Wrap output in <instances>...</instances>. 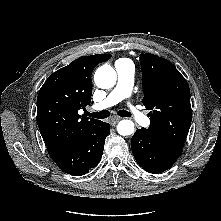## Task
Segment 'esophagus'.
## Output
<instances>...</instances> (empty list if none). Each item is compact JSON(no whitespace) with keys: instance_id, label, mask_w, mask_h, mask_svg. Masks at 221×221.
<instances>
[{"instance_id":"1","label":"esophagus","mask_w":221,"mask_h":221,"mask_svg":"<svg viewBox=\"0 0 221 221\" xmlns=\"http://www.w3.org/2000/svg\"><path fill=\"white\" fill-rule=\"evenodd\" d=\"M120 120H121L120 117H112V118L110 119V124H111L112 126H115Z\"/></svg>"}]
</instances>
